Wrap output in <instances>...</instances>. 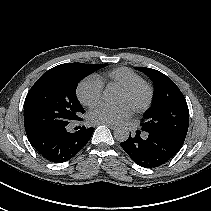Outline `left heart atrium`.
Returning <instances> with one entry per match:
<instances>
[{"label":"left heart atrium","mask_w":211,"mask_h":211,"mask_svg":"<svg viewBox=\"0 0 211 211\" xmlns=\"http://www.w3.org/2000/svg\"><path fill=\"white\" fill-rule=\"evenodd\" d=\"M131 113V108L127 104L120 106L100 104L89 112L88 119L93 124H117L130 117Z\"/></svg>","instance_id":"39dd6f15"}]
</instances>
